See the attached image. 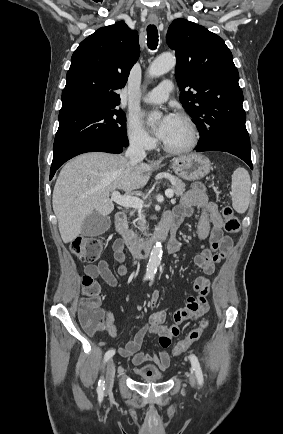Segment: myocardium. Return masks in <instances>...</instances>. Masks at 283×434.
<instances>
[{"label": "myocardium", "instance_id": "myocardium-1", "mask_svg": "<svg viewBox=\"0 0 283 434\" xmlns=\"http://www.w3.org/2000/svg\"><path fill=\"white\" fill-rule=\"evenodd\" d=\"M176 117L185 123V125L188 129V133H189L188 141L186 144L179 146V147H172V146L166 144L165 142L162 143V146H163V149L170 154L188 153L196 147L198 140H199V132H198L197 126L194 123V121L192 120V118L189 115H187L186 113H178L176 115Z\"/></svg>", "mask_w": 283, "mask_h": 434}]
</instances>
